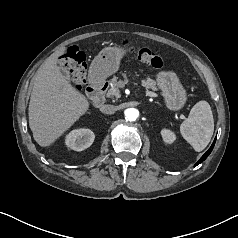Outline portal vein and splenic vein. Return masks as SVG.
Returning <instances> with one entry per match:
<instances>
[{"instance_id":"obj_1","label":"portal vein and splenic vein","mask_w":238,"mask_h":238,"mask_svg":"<svg viewBox=\"0 0 238 238\" xmlns=\"http://www.w3.org/2000/svg\"><path fill=\"white\" fill-rule=\"evenodd\" d=\"M146 96H149V97H156L157 95L154 93V92H151V91H146L145 92Z\"/></svg>"}]
</instances>
